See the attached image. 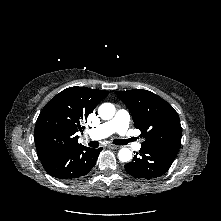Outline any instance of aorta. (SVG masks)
<instances>
[{
	"instance_id": "obj_1",
	"label": "aorta",
	"mask_w": 221,
	"mask_h": 221,
	"mask_svg": "<svg viewBox=\"0 0 221 221\" xmlns=\"http://www.w3.org/2000/svg\"><path fill=\"white\" fill-rule=\"evenodd\" d=\"M98 114L103 120H110L115 115V106L111 103H103L98 108ZM119 160L127 162L132 159V152L129 148H121L118 152Z\"/></svg>"
}]
</instances>
